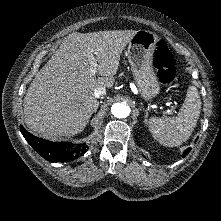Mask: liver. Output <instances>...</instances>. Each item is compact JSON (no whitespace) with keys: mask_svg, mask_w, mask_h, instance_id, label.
I'll use <instances>...</instances> for the list:
<instances>
[{"mask_svg":"<svg viewBox=\"0 0 221 221\" xmlns=\"http://www.w3.org/2000/svg\"><path fill=\"white\" fill-rule=\"evenodd\" d=\"M135 30L73 32L36 73L24 97V121L46 138L74 136L84 130L99 102L97 87L111 88L120 56ZM93 50L101 77L90 73Z\"/></svg>","mask_w":221,"mask_h":221,"instance_id":"1","label":"liver"}]
</instances>
